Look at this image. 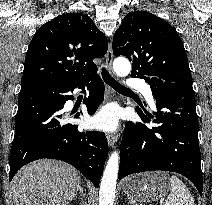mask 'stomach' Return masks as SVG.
Listing matches in <instances>:
<instances>
[{
  "label": "stomach",
  "instance_id": "obj_1",
  "mask_svg": "<svg viewBox=\"0 0 212 205\" xmlns=\"http://www.w3.org/2000/svg\"><path fill=\"white\" fill-rule=\"evenodd\" d=\"M169 189V176L165 172L136 174L123 181V191L133 202H152L162 199Z\"/></svg>",
  "mask_w": 212,
  "mask_h": 205
}]
</instances>
